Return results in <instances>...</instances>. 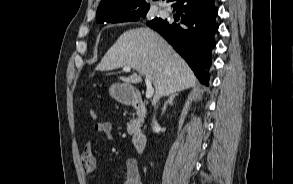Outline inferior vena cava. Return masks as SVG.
I'll return each instance as SVG.
<instances>
[{
  "label": "inferior vena cava",
  "instance_id": "inferior-vena-cava-1",
  "mask_svg": "<svg viewBox=\"0 0 293 184\" xmlns=\"http://www.w3.org/2000/svg\"><path fill=\"white\" fill-rule=\"evenodd\" d=\"M157 124V122L153 119V125H156Z\"/></svg>",
  "mask_w": 293,
  "mask_h": 184
}]
</instances>
